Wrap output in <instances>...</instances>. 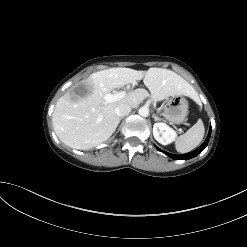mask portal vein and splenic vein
Instances as JSON below:
<instances>
[{"label":"portal vein and splenic vein","mask_w":247,"mask_h":247,"mask_svg":"<svg viewBox=\"0 0 247 247\" xmlns=\"http://www.w3.org/2000/svg\"><path fill=\"white\" fill-rule=\"evenodd\" d=\"M125 96H126V92L125 91H121V92H118L116 94L109 93V94H106L105 96H103V100L106 103H111V102H115V101L121 100Z\"/></svg>","instance_id":"1"}]
</instances>
